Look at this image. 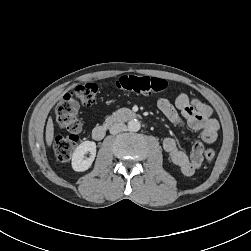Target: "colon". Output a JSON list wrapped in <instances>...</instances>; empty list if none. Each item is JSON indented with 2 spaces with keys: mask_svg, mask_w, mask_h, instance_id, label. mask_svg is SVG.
Wrapping results in <instances>:
<instances>
[{
  "mask_svg": "<svg viewBox=\"0 0 251 251\" xmlns=\"http://www.w3.org/2000/svg\"><path fill=\"white\" fill-rule=\"evenodd\" d=\"M114 87L123 91L151 95L165 91L169 84L160 78L125 75L115 81ZM97 93L98 86L95 83H85L72 88L58 102L55 108L57 124L69 133L67 136H58L54 140V156L58 162L66 163L69 161L81 132V122L78 118L79 108L81 105L90 106L93 104ZM216 154V148H207L204 152L208 161H212Z\"/></svg>",
  "mask_w": 251,
  "mask_h": 251,
  "instance_id": "obj_1",
  "label": "colon"
}]
</instances>
